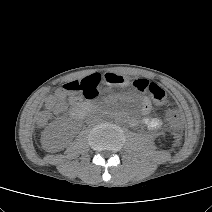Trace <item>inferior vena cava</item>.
<instances>
[{
	"label": "inferior vena cava",
	"mask_w": 212,
	"mask_h": 212,
	"mask_svg": "<svg viewBox=\"0 0 212 212\" xmlns=\"http://www.w3.org/2000/svg\"><path fill=\"white\" fill-rule=\"evenodd\" d=\"M93 120H95V117H89V118H88V122H90V123H91Z\"/></svg>",
	"instance_id": "1"
}]
</instances>
